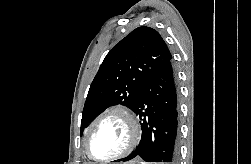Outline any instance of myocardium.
I'll return each mask as SVG.
<instances>
[{
  "instance_id": "myocardium-1",
  "label": "myocardium",
  "mask_w": 251,
  "mask_h": 164,
  "mask_svg": "<svg viewBox=\"0 0 251 164\" xmlns=\"http://www.w3.org/2000/svg\"><path fill=\"white\" fill-rule=\"evenodd\" d=\"M112 115H117L120 116L127 124L128 129H129V140L126 145V147L119 153L107 157V158H96L94 157L91 152H90V139L92 136V133L94 129L97 127V125L106 117L112 116ZM140 126L139 123L135 117V115L132 113L130 109H128L125 106L122 105H117L114 107H111L104 111L102 114H100L90 125L86 138H85V152L86 155L88 156L89 159L93 160L94 162L98 163H106V162H111L114 160L121 159L127 155H129L137 146L139 140H140Z\"/></svg>"
}]
</instances>
